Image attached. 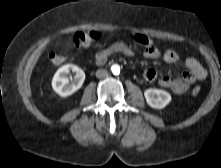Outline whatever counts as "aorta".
Returning a JSON list of instances; mask_svg holds the SVG:
<instances>
[{
	"instance_id": "1",
	"label": "aorta",
	"mask_w": 221,
	"mask_h": 168,
	"mask_svg": "<svg viewBox=\"0 0 221 168\" xmlns=\"http://www.w3.org/2000/svg\"><path fill=\"white\" fill-rule=\"evenodd\" d=\"M111 71L113 74L118 75L120 73V66L118 64H113L111 66Z\"/></svg>"
}]
</instances>
